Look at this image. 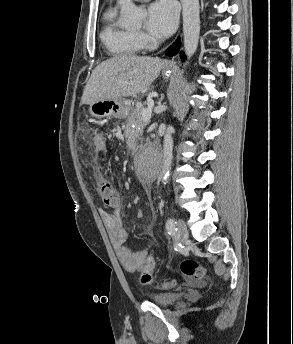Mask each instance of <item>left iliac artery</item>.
<instances>
[{
    "mask_svg": "<svg viewBox=\"0 0 293 344\" xmlns=\"http://www.w3.org/2000/svg\"><path fill=\"white\" fill-rule=\"evenodd\" d=\"M166 230L169 234L177 231V222L173 218H169L166 222Z\"/></svg>",
    "mask_w": 293,
    "mask_h": 344,
    "instance_id": "left-iliac-artery-1",
    "label": "left iliac artery"
}]
</instances>
